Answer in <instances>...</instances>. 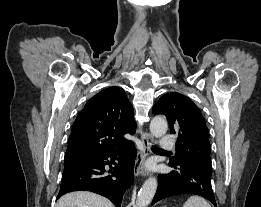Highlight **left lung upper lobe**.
Wrapping results in <instances>:
<instances>
[{
  "mask_svg": "<svg viewBox=\"0 0 261 207\" xmlns=\"http://www.w3.org/2000/svg\"><path fill=\"white\" fill-rule=\"evenodd\" d=\"M152 112L167 117L170 133L177 136L172 165H186L211 175L209 131L199 108L186 96L172 92L163 95Z\"/></svg>",
  "mask_w": 261,
  "mask_h": 207,
  "instance_id": "5c2ea615",
  "label": "left lung upper lobe"
}]
</instances>
